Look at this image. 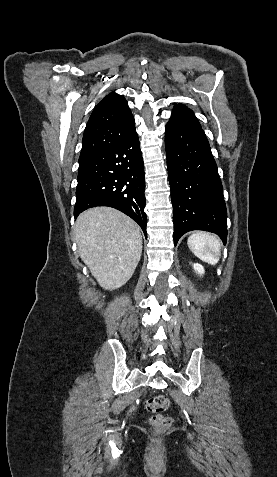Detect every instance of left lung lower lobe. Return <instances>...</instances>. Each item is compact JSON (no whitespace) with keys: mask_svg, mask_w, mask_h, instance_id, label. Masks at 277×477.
<instances>
[{"mask_svg":"<svg viewBox=\"0 0 277 477\" xmlns=\"http://www.w3.org/2000/svg\"><path fill=\"white\" fill-rule=\"evenodd\" d=\"M173 205L174 244L191 230L227 239V212L217 165L198 121L170 120L165 128Z\"/></svg>","mask_w":277,"mask_h":477,"instance_id":"obj_1","label":"left lung lower lobe"}]
</instances>
